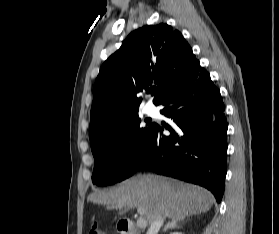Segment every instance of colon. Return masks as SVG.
<instances>
[{"instance_id":"5ec220e1","label":"colon","mask_w":279,"mask_h":234,"mask_svg":"<svg viewBox=\"0 0 279 234\" xmlns=\"http://www.w3.org/2000/svg\"><path fill=\"white\" fill-rule=\"evenodd\" d=\"M87 234H105V231L103 230V228L99 224L94 223L89 228Z\"/></svg>"}]
</instances>
